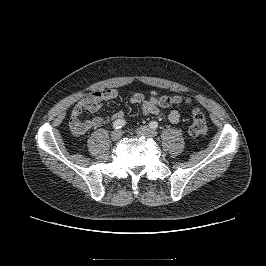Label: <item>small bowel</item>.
Returning <instances> with one entry per match:
<instances>
[{
	"label": "small bowel",
	"instance_id": "c3829d8e",
	"mask_svg": "<svg viewBox=\"0 0 266 266\" xmlns=\"http://www.w3.org/2000/svg\"><path fill=\"white\" fill-rule=\"evenodd\" d=\"M117 96L118 91L116 89H103L91 92L80 99L73 107L70 115L69 126L72 133L81 136L89 130L99 127L105 121L122 118L123 112L119 111L111 117L95 116L87 120L81 119L84 112L95 113L102 105L116 99ZM162 97L163 95L158 92H152L148 98L141 93H135L129 98V102L139 105L144 115H157L162 117L164 116V106L160 102ZM168 119L171 123H178L180 121V113L175 109L171 110L168 114Z\"/></svg>",
	"mask_w": 266,
	"mask_h": 266
}]
</instances>
